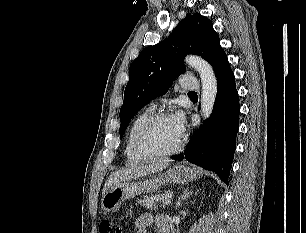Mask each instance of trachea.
Wrapping results in <instances>:
<instances>
[{
  "mask_svg": "<svg viewBox=\"0 0 306 233\" xmlns=\"http://www.w3.org/2000/svg\"><path fill=\"white\" fill-rule=\"evenodd\" d=\"M189 94H193V95H196V92H189Z\"/></svg>",
  "mask_w": 306,
  "mask_h": 233,
  "instance_id": "1",
  "label": "trachea"
}]
</instances>
